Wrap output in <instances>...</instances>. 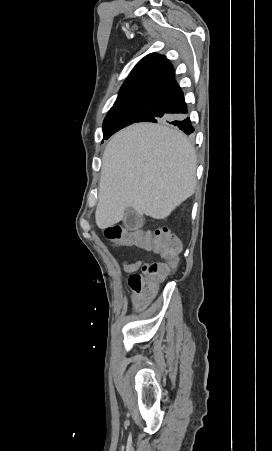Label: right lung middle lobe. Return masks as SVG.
I'll return each mask as SVG.
<instances>
[{
	"label": "right lung middle lobe",
	"mask_w": 272,
	"mask_h": 451,
	"mask_svg": "<svg viewBox=\"0 0 272 451\" xmlns=\"http://www.w3.org/2000/svg\"><path fill=\"white\" fill-rule=\"evenodd\" d=\"M150 100L134 98L116 101L104 120V139L141 118L148 111Z\"/></svg>",
	"instance_id": "1"
}]
</instances>
